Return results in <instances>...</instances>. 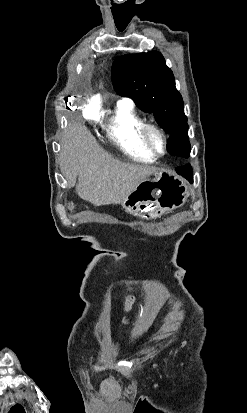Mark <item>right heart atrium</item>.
<instances>
[{
    "label": "right heart atrium",
    "instance_id": "obj_1",
    "mask_svg": "<svg viewBox=\"0 0 247 413\" xmlns=\"http://www.w3.org/2000/svg\"><path fill=\"white\" fill-rule=\"evenodd\" d=\"M102 108H103L102 100L88 101L86 105L84 106L83 116L85 119H91L93 123H96L98 119L102 117V112H101Z\"/></svg>",
    "mask_w": 247,
    "mask_h": 413
}]
</instances>
